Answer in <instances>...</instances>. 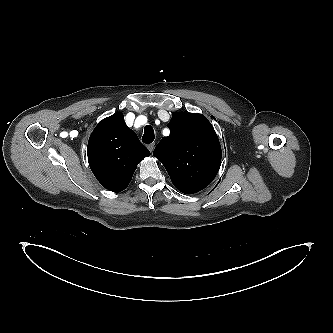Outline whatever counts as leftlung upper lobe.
I'll return each instance as SVG.
<instances>
[{"label": "left lung upper lobe", "mask_w": 333, "mask_h": 333, "mask_svg": "<svg viewBox=\"0 0 333 333\" xmlns=\"http://www.w3.org/2000/svg\"><path fill=\"white\" fill-rule=\"evenodd\" d=\"M153 154L166 168L173 185L193 194L207 187L221 165V147L213 126L201 114L174 112Z\"/></svg>", "instance_id": "left-lung-upper-lobe-1"}]
</instances>
